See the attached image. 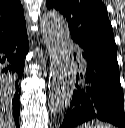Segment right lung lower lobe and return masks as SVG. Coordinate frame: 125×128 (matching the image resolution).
Segmentation results:
<instances>
[{"mask_svg": "<svg viewBox=\"0 0 125 128\" xmlns=\"http://www.w3.org/2000/svg\"><path fill=\"white\" fill-rule=\"evenodd\" d=\"M28 50L29 42L26 31L0 42V72L13 79L11 82H7V86L13 92L12 109L16 126L19 125L20 115L18 83L22 77L24 57Z\"/></svg>", "mask_w": 125, "mask_h": 128, "instance_id": "98d812e1", "label": "right lung lower lobe"}]
</instances>
